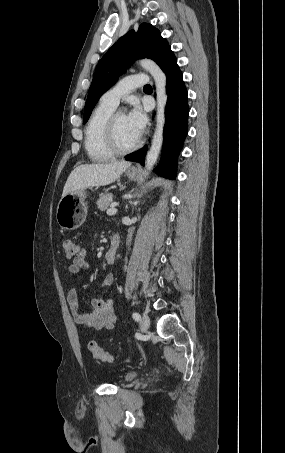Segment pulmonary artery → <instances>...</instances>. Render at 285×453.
Wrapping results in <instances>:
<instances>
[{"label":"pulmonary artery","instance_id":"pulmonary-artery-1","mask_svg":"<svg viewBox=\"0 0 285 453\" xmlns=\"http://www.w3.org/2000/svg\"><path fill=\"white\" fill-rule=\"evenodd\" d=\"M147 82L148 77L143 73L126 76L115 86L106 91L102 96V100L117 107L122 97L131 93L135 88L145 85Z\"/></svg>","mask_w":285,"mask_h":453}]
</instances>
